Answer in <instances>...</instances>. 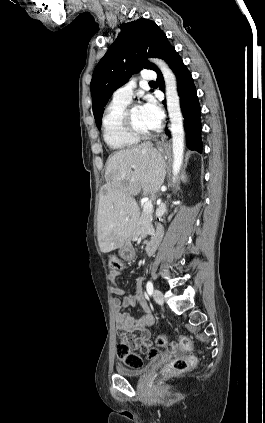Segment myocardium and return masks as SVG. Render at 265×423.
<instances>
[{
	"label": "myocardium",
	"instance_id": "f54148a6",
	"mask_svg": "<svg viewBox=\"0 0 265 423\" xmlns=\"http://www.w3.org/2000/svg\"><path fill=\"white\" fill-rule=\"evenodd\" d=\"M138 107H140L138 104H131V105H128L124 109V111L122 113V124H123L124 129L130 135H132L133 137H135L137 139H144V138L151 136L154 133L155 129H153L151 131H140L135 127V125H134V123L131 119V111L134 108H138Z\"/></svg>",
	"mask_w": 265,
	"mask_h": 423
}]
</instances>
